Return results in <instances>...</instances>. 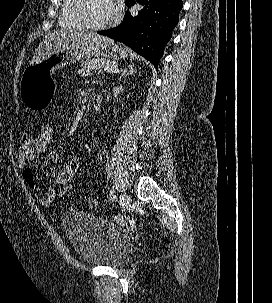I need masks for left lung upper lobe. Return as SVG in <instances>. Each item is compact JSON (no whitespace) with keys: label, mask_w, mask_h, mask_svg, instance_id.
Wrapping results in <instances>:
<instances>
[{"label":"left lung upper lobe","mask_w":272,"mask_h":303,"mask_svg":"<svg viewBox=\"0 0 272 303\" xmlns=\"http://www.w3.org/2000/svg\"><path fill=\"white\" fill-rule=\"evenodd\" d=\"M133 0H127V4H130Z\"/></svg>","instance_id":"obj_1"}]
</instances>
